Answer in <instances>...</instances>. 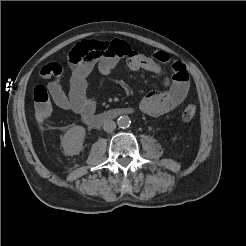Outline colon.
<instances>
[{
	"label": "colon",
	"mask_w": 246,
	"mask_h": 246,
	"mask_svg": "<svg viewBox=\"0 0 246 246\" xmlns=\"http://www.w3.org/2000/svg\"><path fill=\"white\" fill-rule=\"evenodd\" d=\"M33 98L36 118L39 121L49 119V117L51 116L52 107L47 89L42 85L36 86L33 92ZM196 110L197 109L195 104H187L182 113L183 120H192L196 115Z\"/></svg>",
	"instance_id": "colon-1"
}]
</instances>
